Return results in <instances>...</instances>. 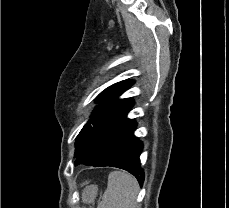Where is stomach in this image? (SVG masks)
Segmentation results:
<instances>
[{
	"instance_id": "1",
	"label": "stomach",
	"mask_w": 229,
	"mask_h": 208,
	"mask_svg": "<svg viewBox=\"0 0 229 208\" xmlns=\"http://www.w3.org/2000/svg\"><path fill=\"white\" fill-rule=\"evenodd\" d=\"M81 196L83 204H93L98 196V186H93V184L92 186H86Z\"/></svg>"
}]
</instances>
